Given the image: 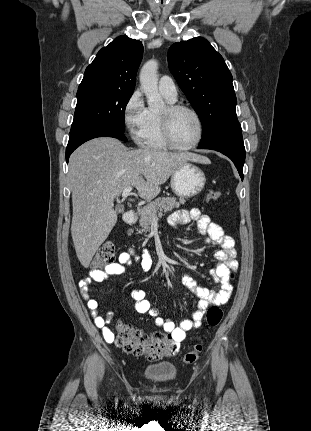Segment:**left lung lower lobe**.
<instances>
[{
    "label": "left lung lower lobe",
    "mask_w": 311,
    "mask_h": 431,
    "mask_svg": "<svg viewBox=\"0 0 311 431\" xmlns=\"http://www.w3.org/2000/svg\"><path fill=\"white\" fill-rule=\"evenodd\" d=\"M200 149H211L223 153L235 164L241 179L243 180V165L245 162V147L242 138V131H235L226 134L217 140L204 145H199Z\"/></svg>",
    "instance_id": "1"
}]
</instances>
